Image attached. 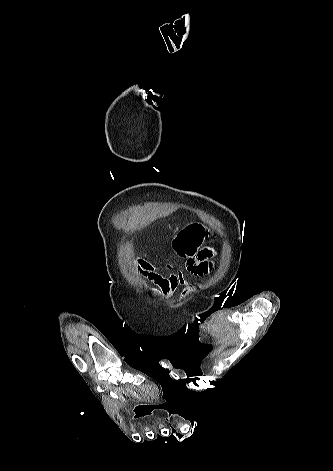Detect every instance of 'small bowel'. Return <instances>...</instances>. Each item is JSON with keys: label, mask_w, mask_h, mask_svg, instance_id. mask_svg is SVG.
Returning <instances> with one entry per match:
<instances>
[{"label": "small bowel", "mask_w": 333, "mask_h": 471, "mask_svg": "<svg viewBox=\"0 0 333 471\" xmlns=\"http://www.w3.org/2000/svg\"><path fill=\"white\" fill-rule=\"evenodd\" d=\"M205 237L202 225L193 223L181 230L173 242L176 253L186 260V270L193 275H202L211 268L212 252L203 246ZM133 266L140 277L156 286L157 293L162 297L172 295L180 286L184 287V297L192 291L182 270L171 271V266H168L170 270L165 272L146 257H137Z\"/></svg>", "instance_id": "1"}]
</instances>
